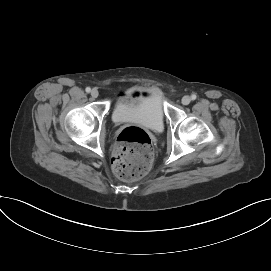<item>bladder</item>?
Instances as JSON below:
<instances>
[{"label": "bladder", "mask_w": 271, "mask_h": 271, "mask_svg": "<svg viewBox=\"0 0 271 271\" xmlns=\"http://www.w3.org/2000/svg\"><path fill=\"white\" fill-rule=\"evenodd\" d=\"M115 123H139L153 130L161 131L164 127V110L158 92L123 96L115 104L112 112Z\"/></svg>", "instance_id": "31cf9c89"}]
</instances>
